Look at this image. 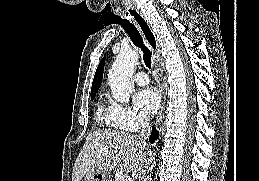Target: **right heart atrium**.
Returning <instances> with one entry per match:
<instances>
[{"label":"right heart atrium","mask_w":259,"mask_h":181,"mask_svg":"<svg viewBox=\"0 0 259 181\" xmlns=\"http://www.w3.org/2000/svg\"><path fill=\"white\" fill-rule=\"evenodd\" d=\"M110 122L117 128L136 131L147 124L148 119L136 109L108 100Z\"/></svg>","instance_id":"right-heart-atrium-1"}]
</instances>
